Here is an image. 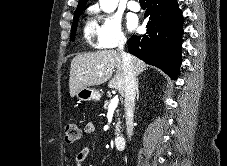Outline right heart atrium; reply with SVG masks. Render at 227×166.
<instances>
[{
	"mask_svg": "<svg viewBox=\"0 0 227 166\" xmlns=\"http://www.w3.org/2000/svg\"><path fill=\"white\" fill-rule=\"evenodd\" d=\"M90 12L94 16L95 37L99 47L113 49L125 43L118 16L102 11L97 5L91 7Z\"/></svg>",
	"mask_w": 227,
	"mask_h": 166,
	"instance_id": "1",
	"label": "right heart atrium"
}]
</instances>
